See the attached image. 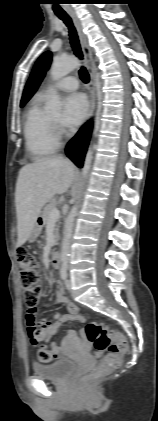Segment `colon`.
<instances>
[{
    "instance_id": "obj_1",
    "label": "colon",
    "mask_w": 158,
    "mask_h": 421,
    "mask_svg": "<svg viewBox=\"0 0 158 421\" xmlns=\"http://www.w3.org/2000/svg\"><path fill=\"white\" fill-rule=\"evenodd\" d=\"M17 260L26 304L30 308H34L41 292L36 259L26 248L20 247L17 249ZM84 335L95 350L107 351L96 368L83 377V383L90 385L102 375L119 367L128 350V343L122 334L97 321L88 322L85 325ZM54 357V353L46 347H41L38 350V359L42 363H50Z\"/></svg>"
}]
</instances>
